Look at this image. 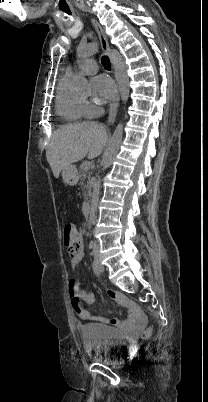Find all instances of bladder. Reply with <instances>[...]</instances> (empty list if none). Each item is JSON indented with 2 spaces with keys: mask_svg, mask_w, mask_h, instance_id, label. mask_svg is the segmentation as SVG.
Segmentation results:
<instances>
[{
  "mask_svg": "<svg viewBox=\"0 0 208 402\" xmlns=\"http://www.w3.org/2000/svg\"><path fill=\"white\" fill-rule=\"evenodd\" d=\"M86 352L101 363H115L114 356L123 349L125 341L111 325L94 323L82 326Z\"/></svg>",
  "mask_w": 208,
  "mask_h": 402,
  "instance_id": "bladder-1",
  "label": "bladder"
}]
</instances>
